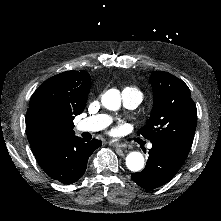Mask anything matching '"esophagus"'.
<instances>
[{
    "instance_id": "34e87169",
    "label": "esophagus",
    "mask_w": 221,
    "mask_h": 221,
    "mask_svg": "<svg viewBox=\"0 0 221 221\" xmlns=\"http://www.w3.org/2000/svg\"><path fill=\"white\" fill-rule=\"evenodd\" d=\"M108 144L112 147H118V148H121V147H126V144L125 143H122L121 141L117 140V139H112L108 142Z\"/></svg>"
}]
</instances>
